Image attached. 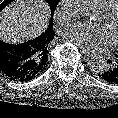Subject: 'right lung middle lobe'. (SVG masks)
I'll use <instances>...</instances> for the list:
<instances>
[{
  "label": "right lung middle lobe",
  "mask_w": 118,
  "mask_h": 118,
  "mask_svg": "<svg viewBox=\"0 0 118 118\" xmlns=\"http://www.w3.org/2000/svg\"><path fill=\"white\" fill-rule=\"evenodd\" d=\"M12 1H14V0H4V1L1 3V5H0V11H1L6 5H8L9 3H11ZM45 1L48 3V5H49V7H50V9H51V17L53 18V14H54L55 8L57 7V4H58L59 0H45Z\"/></svg>",
  "instance_id": "1"
}]
</instances>
